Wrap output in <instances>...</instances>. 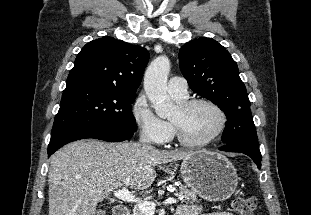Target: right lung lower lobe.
Returning <instances> with one entry per match:
<instances>
[{
	"label": "right lung lower lobe",
	"mask_w": 311,
	"mask_h": 215,
	"mask_svg": "<svg viewBox=\"0 0 311 215\" xmlns=\"http://www.w3.org/2000/svg\"><path fill=\"white\" fill-rule=\"evenodd\" d=\"M136 131L112 129H74L52 134L48 145V157L65 144L86 138L118 142L130 139Z\"/></svg>",
	"instance_id": "obj_1"
}]
</instances>
